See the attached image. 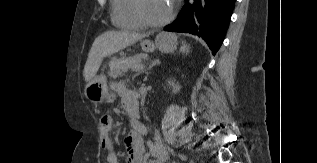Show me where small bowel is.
Wrapping results in <instances>:
<instances>
[{"mask_svg": "<svg viewBox=\"0 0 317 163\" xmlns=\"http://www.w3.org/2000/svg\"><path fill=\"white\" fill-rule=\"evenodd\" d=\"M116 94L121 98V105L129 113L132 131L125 137V147L127 151L126 163H161L164 160L152 159L150 152L158 155L159 149L152 143L146 147L143 135L146 133L145 127L138 121L139 102L135 92L127 89L122 84L115 87ZM113 121L110 117H103L100 120L101 148L107 151L106 160L108 163H119L118 156L111 138ZM150 150V152H149ZM163 155H160L162 159Z\"/></svg>", "mask_w": 317, "mask_h": 163, "instance_id": "1", "label": "small bowel"}]
</instances>
